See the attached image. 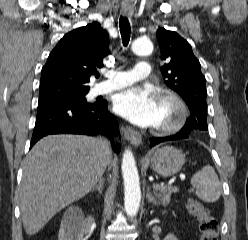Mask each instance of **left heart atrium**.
Listing matches in <instances>:
<instances>
[{
	"label": "left heart atrium",
	"instance_id": "39dd6f15",
	"mask_svg": "<svg viewBox=\"0 0 248 240\" xmlns=\"http://www.w3.org/2000/svg\"><path fill=\"white\" fill-rule=\"evenodd\" d=\"M114 110L142 127L160 124L159 99L151 89L135 86L121 91L115 98Z\"/></svg>",
	"mask_w": 248,
	"mask_h": 240
}]
</instances>
